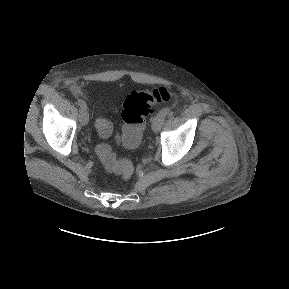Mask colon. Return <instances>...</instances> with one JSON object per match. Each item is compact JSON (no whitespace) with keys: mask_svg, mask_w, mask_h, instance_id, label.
<instances>
[{"mask_svg":"<svg viewBox=\"0 0 289 289\" xmlns=\"http://www.w3.org/2000/svg\"><path fill=\"white\" fill-rule=\"evenodd\" d=\"M176 94L166 88H156L150 91H133L124 100L122 107V144L127 149H135L145 127L147 116L156 104L174 101ZM96 129L100 136L106 138L112 134V124L105 118L96 121ZM97 152L107 171L121 174L129 178L133 173V165L127 159H117L107 144H100Z\"/></svg>","mask_w":289,"mask_h":289,"instance_id":"obj_1","label":"colon"}]
</instances>
